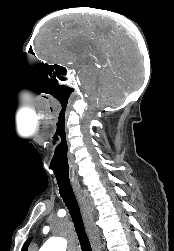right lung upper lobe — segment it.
<instances>
[{"mask_svg":"<svg viewBox=\"0 0 174 251\" xmlns=\"http://www.w3.org/2000/svg\"><path fill=\"white\" fill-rule=\"evenodd\" d=\"M30 241H31V239H28V241L24 244L22 251H27V248L29 246Z\"/></svg>","mask_w":174,"mask_h":251,"instance_id":"cb5924a9","label":"right lung upper lobe"}]
</instances>
